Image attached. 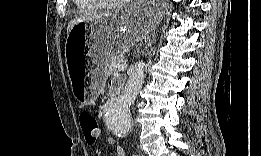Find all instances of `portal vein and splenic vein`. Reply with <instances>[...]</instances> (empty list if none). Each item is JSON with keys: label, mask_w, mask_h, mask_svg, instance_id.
<instances>
[{"label": "portal vein and splenic vein", "mask_w": 261, "mask_h": 156, "mask_svg": "<svg viewBox=\"0 0 261 156\" xmlns=\"http://www.w3.org/2000/svg\"><path fill=\"white\" fill-rule=\"evenodd\" d=\"M127 68V63H126V61H123V63H121V64H119L118 66H117V69L119 70V71H123L124 69H126Z\"/></svg>", "instance_id": "obj_1"}]
</instances>
